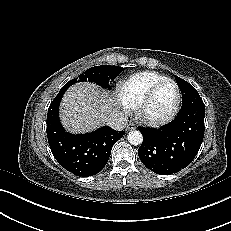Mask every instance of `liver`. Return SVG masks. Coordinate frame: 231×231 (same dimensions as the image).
<instances>
[{
  "label": "liver",
  "mask_w": 231,
  "mask_h": 231,
  "mask_svg": "<svg viewBox=\"0 0 231 231\" xmlns=\"http://www.w3.org/2000/svg\"><path fill=\"white\" fill-rule=\"evenodd\" d=\"M112 94L92 83L81 82L69 87L60 104V119L71 133L91 132L117 112Z\"/></svg>",
  "instance_id": "6515ba94"
}]
</instances>
